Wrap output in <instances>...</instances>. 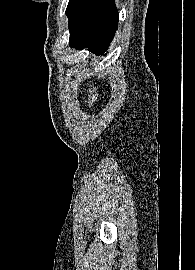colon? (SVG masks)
<instances>
[{"label": "colon", "mask_w": 195, "mask_h": 270, "mask_svg": "<svg viewBox=\"0 0 195 270\" xmlns=\"http://www.w3.org/2000/svg\"><path fill=\"white\" fill-rule=\"evenodd\" d=\"M99 93L98 90H93L90 96V105L93 106L98 101Z\"/></svg>", "instance_id": "obj_1"}]
</instances>
